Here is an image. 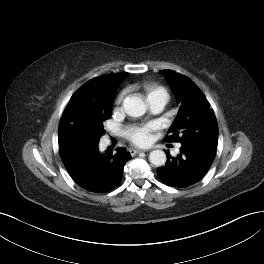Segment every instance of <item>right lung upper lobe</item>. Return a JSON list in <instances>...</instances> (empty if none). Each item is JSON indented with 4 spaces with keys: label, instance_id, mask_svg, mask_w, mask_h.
<instances>
[{
    "label": "right lung upper lobe",
    "instance_id": "1",
    "mask_svg": "<svg viewBox=\"0 0 264 264\" xmlns=\"http://www.w3.org/2000/svg\"><path fill=\"white\" fill-rule=\"evenodd\" d=\"M128 73L97 77L83 85L70 99L60 121L58 138L71 122L111 105L118 85Z\"/></svg>",
    "mask_w": 264,
    "mask_h": 264
}]
</instances>
